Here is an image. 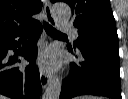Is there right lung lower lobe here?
Instances as JSON below:
<instances>
[{
    "label": "right lung lower lobe",
    "instance_id": "98d812e1",
    "mask_svg": "<svg viewBox=\"0 0 128 99\" xmlns=\"http://www.w3.org/2000/svg\"><path fill=\"white\" fill-rule=\"evenodd\" d=\"M28 30H30L28 32ZM42 32V26L38 21L26 26L22 30L0 40V94L12 99H39L41 83L39 70L35 65L37 57L36 42ZM29 34L31 37L22 48L21 55L30 64L25 68L16 67L20 62L18 57H10L8 50H16L19 44L16 37L23 38Z\"/></svg>",
    "mask_w": 128,
    "mask_h": 99
}]
</instances>
